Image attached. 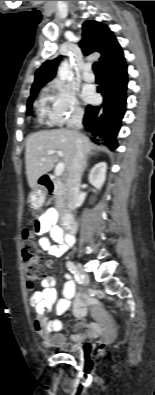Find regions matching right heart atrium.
Listing matches in <instances>:
<instances>
[{"mask_svg":"<svg viewBox=\"0 0 155 395\" xmlns=\"http://www.w3.org/2000/svg\"><path fill=\"white\" fill-rule=\"evenodd\" d=\"M46 100L49 103L47 118L51 125H71L82 118L83 110L76 91L70 85L62 81L51 83L47 89Z\"/></svg>","mask_w":155,"mask_h":395,"instance_id":"right-heart-atrium-1","label":"right heart atrium"}]
</instances>
